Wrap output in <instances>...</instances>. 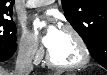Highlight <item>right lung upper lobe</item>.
<instances>
[{
    "label": "right lung upper lobe",
    "instance_id": "right-lung-upper-lobe-1",
    "mask_svg": "<svg viewBox=\"0 0 107 75\" xmlns=\"http://www.w3.org/2000/svg\"><path fill=\"white\" fill-rule=\"evenodd\" d=\"M14 2V0H10ZM8 0H0V17H5L12 13V3L8 5Z\"/></svg>",
    "mask_w": 107,
    "mask_h": 75
}]
</instances>
